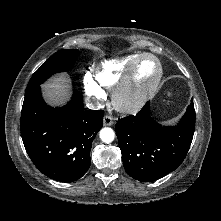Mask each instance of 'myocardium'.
<instances>
[{"mask_svg": "<svg viewBox=\"0 0 221 221\" xmlns=\"http://www.w3.org/2000/svg\"><path fill=\"white\" fill-rule=\"evenodd\" d=\"M150 58L156 62L158 72L153 82L141 91L134 92V76L139 63ZM163 76V67L160 60L150 53H142L128 68L123 78L115 86L113 92L114 107L123 113L139 111L158 88Z\"/></svg>", "mask_w": 221, "mask_h": 221, "instance_id": "1", "label": "myocardium"}]
</instances>
